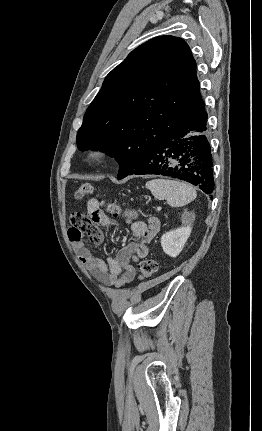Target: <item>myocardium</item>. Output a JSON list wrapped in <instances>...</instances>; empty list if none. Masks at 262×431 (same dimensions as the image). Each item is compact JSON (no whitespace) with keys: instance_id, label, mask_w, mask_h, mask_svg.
<instances>
[{"instance_id":"myocardium-1","label":"myocardium","mask_w":262,"mask_h":431,"mask_svg":"<svg viewBox=\"0 0 262 431\" xmlns=\"http://www.w3.org/2000/svg\"><path fill=\"white\" fill-rule=\"evenodd\" d=\"M107 157V152L101 147H93L88 151L87 159L92 165L101 164Z\"/></svg>"}]
</instances>
